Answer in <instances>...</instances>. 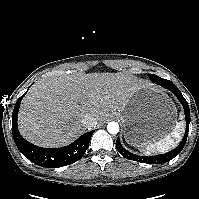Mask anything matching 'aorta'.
<instances>
[{"instance_id": "aorta-1", "label": "aorta", "mask_w": 199, "mask_h": 199, "mask_svg": "<svg viewBox=\"0 0 199 199\" xmlns=\"http://www.w3.org/2000/svg\"><path fill=\"white\" fill-rule=\"evenodd\" d=\"M107 130L110 134H117L119 132V125L116 122H110L107 125Z\"/></svg>"}]
</instances>
